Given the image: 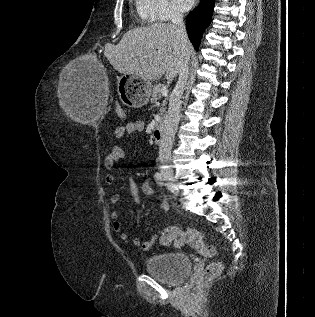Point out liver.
<instances>
[{
	"instance_id": "liver-1",
	"label": "liver",
	"mask_w": 315,
	"mask_h": 317,
	"mask_svg": "<svg viewBox=\"0 0 315 317\" xmlns=\"http://www.w3.org/2000/svg\"><path fill=\"white\" fill-rule=\"evenodd\" d=\"M191 51L173 24L155 23L129 30L117 45H106L104 55L119 73L156 81L164 74L168 80L179 75Z\"/></svg>"
}]
</instances>
